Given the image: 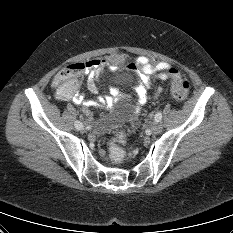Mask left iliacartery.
<instances>
[{
  "label": "left iliac artery",
  "mask_w": 233,
  "mask_h": 233,
  "mask_svg": "<svg viewBox=\"0 0 233 233\" xmlns=\"http://www.w3.org/2000/svg\"><path fill=\"white\" fill-rule=\"evenodd\" d=\"M154 119H155L156 122L161 121V119H162V113L161 112H157L156 115H155V117H154Z\"/></svg>",
  "instance_id": "obj_1"
}]
</instances>
